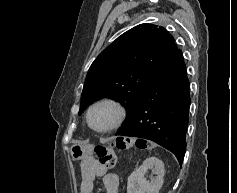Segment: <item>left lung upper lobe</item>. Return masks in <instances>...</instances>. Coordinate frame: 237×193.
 <instances>
[{
  "label": "left lung upper lobe",
  "instance_id": "5c2ea615",
  "mask_svg": "<svg viewBox=\"0 0 237 193\" xmlns=\"http://www.w3.org/2000/svg\"><path fill=\"white\" fill-rule=\"evenodd\" d=\"M178 49L163 27L140 24L118 37L89 68L79 115L102 98L127 109L125 128L135 116L143 95L172 60Z\"/></svg>",
  "mask_w": 237,
  "mask_h": 193
}]
</instances>
